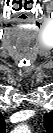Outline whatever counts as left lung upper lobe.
<instances>
[{
	"mask_svg": "<svg viewBox=\"0 0 53 133\" xmlns=\"http://www.w3.org/2000/svg\"><path fill=\"white\" fill-rule=\"evenodd\" d=\"M44 118H45V128L48 129V128H49V127H48V125H49V124H48L49 116H48V115H45Z\"/></svg>",
	"mask_w": 53,
	"mask_h": 133,
	"instance_id": "obj_1",
	"label": "left lung upper lobe"
}]
</instances>
